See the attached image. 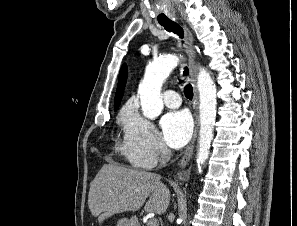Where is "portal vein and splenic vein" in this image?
Returning a JSON list of instances; mask_svg holds the SVG:
<instances>
[{
  "label": "portal vein and splenic vein",
  "instance_id": "obj_1",
  "mask_svg": "<svg viewBox=\"0 0 297 226\" xmlns=\"http://www.w3.org/2000/svg\"><path fill=\"white\" fill-rule=\"evenodd\" d=\"M158 223L157 219H150L148 222H147V226H156Z\"/></svg>",
  "mask_w": 297,
  "mask_h": 226
}]
</instances>
